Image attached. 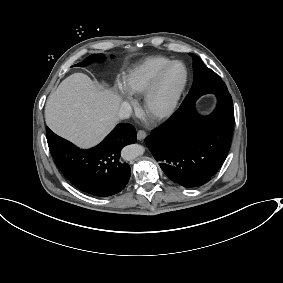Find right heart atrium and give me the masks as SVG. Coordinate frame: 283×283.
<instances>
[{
    "mask_svg": "<svg viewBox=\"0 0 283 283\" xmlns=\"http://www.w3.org/2000/svg\"><path fill=\"white\" fill-rule=\"evenodd\" d=\"M109 95L114 98L117 102H120L125 105L130 104V98L123 89L121 84H114Z\"/></svg>",
    "mask_w": 283,
    "mask_h": 283,
    "instance_id": "1",
    "label": "right heart atrium"
}]
</instances>
